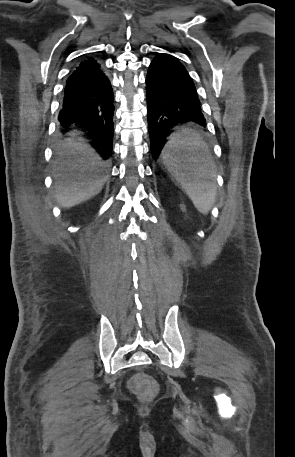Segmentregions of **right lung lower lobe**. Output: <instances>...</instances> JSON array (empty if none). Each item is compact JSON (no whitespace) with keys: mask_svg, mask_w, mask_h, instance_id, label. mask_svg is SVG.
<instances>
[{"mask_svg":"<svg viewBox=\"0 0 295 457\" xmlns=\"http://www.w3.org/2000/svg\"><path fill=\"white\" fill-rule=\"evenodd\" d=\"M113 90L100 63L87 57L70 74L58 119L63 126L73 123L87 128L89 142L104 159L112 151Z\"/></svg>","mask_w":295,"mask_h":457,"instance_id":"98d812e1","label":"right lung lower lobe"}]
</instances>
